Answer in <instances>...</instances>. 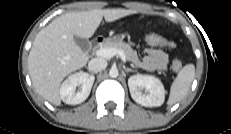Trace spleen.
Wrapping results in <instances>:
<instances>
[{"label": "spleen", "mask_w": 231, "mask_h": 134, "mask_svg": "<svg viewBox=\"0 0 231 134\" xmlns=\"http://www.w3.org/2000/svg\"><path fill=\"white\" fill-rule=\"evenodd\" d=\"M195 77V66L193 64L185 65L177 77L174 79L167 104L169 106L182 100L189 91V88Z\"/></svg>", "instance_id": "obj_1"}]
</instances>
